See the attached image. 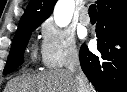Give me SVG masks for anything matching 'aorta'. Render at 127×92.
Masks as SVG:
<instances>
[{"instance_id": "aorta-1", "label": "aorta", "mask_w": 127, "mask_h": 92, "mask_svg": "<svg viewBox=\"0 0 127 92\" xmlns=\"http://www.w3.org/2000/svg\"><path fill=\"white\" fill-rule=\"evenodd\" d=\"M74 8V0H59L53 12L55 24L59 27H66L72 19Z\"/></svg>"}]
</instances>
